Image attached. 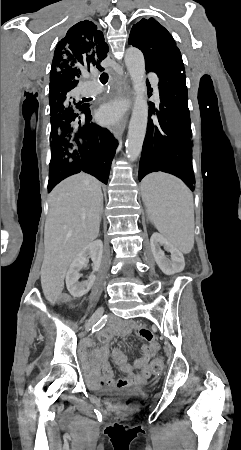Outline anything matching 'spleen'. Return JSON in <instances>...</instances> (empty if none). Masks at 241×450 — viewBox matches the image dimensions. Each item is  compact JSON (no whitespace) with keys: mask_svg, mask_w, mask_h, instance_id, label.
Here are the masks:
<instances>
[{"mask_svg":"<svg viewBox=\"0 0 241 450\" xmlns=\"http://www.w3.org/2000/svg\"><path fill=\"white\" fill-rule=\"evenodd\" d=\"M141 194L158 232L182 254H190L194 248V210L189 188L171 174L153 172L142 180Z\"/></svg>","mask_w":241,"mask_h":450,"instance_id":"obj_1","label":"spleen"}]
</instances>
